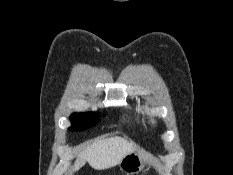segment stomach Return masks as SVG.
Wrapping results in <instances>:
<instances>
[{"instance_id":"1","label":"stomach","mask_w":233,"mask_h":175,"mask_svg":"<svg viewBox=\"0 0 233 175\" xmlns=\"http://www.w3.org/2000/svg\"><path fill=\"white\" fill-rule=\"evenodd\" d=\"M146 163V157L142 151L135 150L123 157L119 167L126 175H135L141 172Z\"/></svg>"}]
</instances>
